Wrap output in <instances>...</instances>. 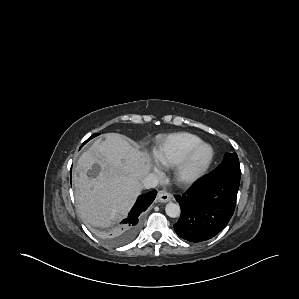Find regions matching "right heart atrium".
<instances>
[{"mask_svg":"<svg viewBox=\"0 0 299 299\" xmlns=\"http://www.w3.org/2000/svg\"><path fill=\"white\" fill-rule=\"evenodd\" d=\"M156 171L159 173V170H158V169H156Z\"/></svg>","mask_w":299,"mask_h":299,"instance_id":"1","label":"right heart atrium"}]
</instances>
